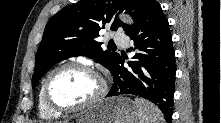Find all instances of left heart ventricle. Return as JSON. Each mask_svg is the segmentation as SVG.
Listing matches in <instances>:
<instances>
[{
	"label": "left heart ventricle",
	"mask_w": 221,
	"mask_h": 123,
	"mask_svg": "<svg viewBox=\"0 0 221 123\" xmlns=\"http://www.w3.org/2000/svg\"><path fill=\"white\" fill-rule=\"evenodd\" d=\"M99 89V79L78 68H67L59 71L50 83L52 99L62 106L85 103L96 96Z\"/></svg>",
	"instance_id": "b2bd125f"
}]
</instances>
